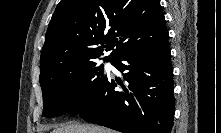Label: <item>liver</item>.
Segmentation results:
<instances>
[{"label":"liver","instance_id":"liver-1","mask_svg":"<svg viewBox=\"0 0 221 133\" xmlns=\"http://www.w3.org/2000/svg\"><path fill=\"white\" fill-rule=\"evenodd\" d=\"M51 133H114V132H112L109 129L93 125L66 123L54 129Z\"/></svg>","mask_w":221,"mask_h":133}]
</instances>
